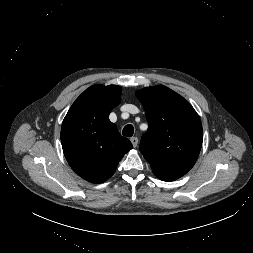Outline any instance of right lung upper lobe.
I'll return each instance as SVG.
<instances>
[{
  "mask_svg": "<svg viewBox=\"0 0 253 253\" xmlns=\"http://www.w3.org/2000/svg\"><path fill=\"white\" fill-rule=\"evenodd\" d=\"M121 101V87L93 85L72 104L61 127L62 148L71 168L83 179L99 184L109 179L132 149L109 120Z\"/></svg>",
  "mask_w": 253,
  "mask_h": 253,
  "instance_id": "cb5924a9",
  "label": "right lung upper lobe"
}]
</instances>
